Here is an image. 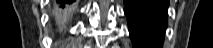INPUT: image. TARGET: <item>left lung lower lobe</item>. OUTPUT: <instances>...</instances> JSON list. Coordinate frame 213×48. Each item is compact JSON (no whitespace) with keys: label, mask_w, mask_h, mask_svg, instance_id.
Returning <instances> with one entry per match:
<instances>
[{"label":"left lung lower lobe","mask_w":213,"mask_h":48,"mask_svg":"<svg viewBox=\"0 0 213 48\" xmlns=\"http://www.w3.org/2000/svg\"><path fill=\"white\" fill-rule=\"evenodd\" d=\"M134 48H162L168 0H124Z\"/></svg>","instance_id":"1"}]
</instances>
